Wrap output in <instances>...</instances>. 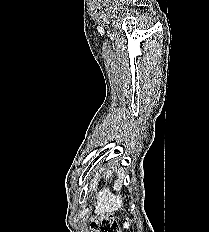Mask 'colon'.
<instances>
[{
    "mask_svg": "<svg viewBox=\"0 0 209 232\" xmlns=\"http://www.w3.org/2000/svg\"><path fill=\"white\" fill-rule=\"evenodd\" d=\"M94 232H120L111 215H101L91 223Z\"/></svg>",
    "mask_w": 209,
    "mask_h": 232,
    "instance_id": "1",
    "label": "colon"
}]
</instances>
